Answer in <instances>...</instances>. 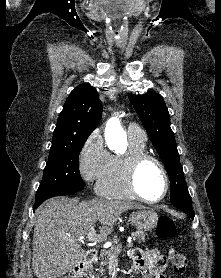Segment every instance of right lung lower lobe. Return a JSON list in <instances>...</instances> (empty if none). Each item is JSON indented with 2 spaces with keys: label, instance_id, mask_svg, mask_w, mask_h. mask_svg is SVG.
I'll return each mask as SVG.
<instances>
[{
  "label": "right lung lower lobe",
  "instance_id": "right-lung-lower-lobe-1",
  "mask_svg": "<svg viewBox=\"0 0 221 278\" xmlns=\"http://www.w3.org/2000/svg\"><path fill=\"white\" fill-rule=\"evenodd\" d=\"M79 190L77 189H65V190H60V191H57L55 192L52 197L54 196H58V195H69V194H72V193H75ZM51 198V197H50ZM43 202V201H42ZM42 202H36L33 209H36Z\"/></svg>",
  "mask_w": 221,
  "mask_h": 278
}]
</instances>
